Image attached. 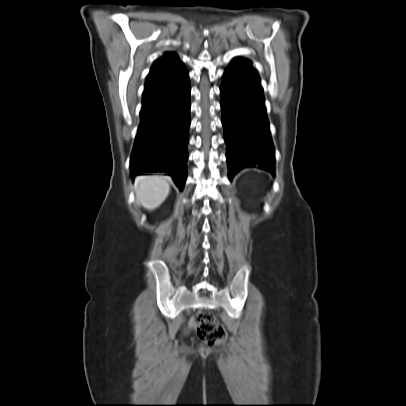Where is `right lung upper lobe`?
Masks as SVG:
<instances>
[{
  "label": "right lung upper lobe",
  "mask_w": 406,
  "mask_h": 406,
  "mask_svg": "<svg viewBox=\"0 0 406 406\" xmlns=\"http://www.w3.org/2000/svg\"><path fill=\"white\" fill-rule=\"evenodd\" d=\"M182 65L179 57L175 53L164 54L152 66L147 76L145 88L164 81Z\"/></svg>",
  "instance_id": "right-lung-upper-lobe-1"
}]
</instances>
